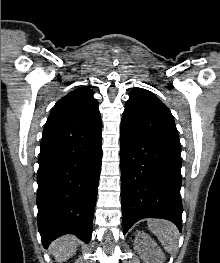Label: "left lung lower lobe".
Segmentation results:
<instances>
[{"mask_svg": "<svg viewBox=\"0 0 220 263\" xmlns=\"http://www.w3.org/2000/svg\"><path fill=\"white\" fill-rule=\"evenodd\" d=\"M123 233L143 218L172 221L182 230L181 150L121 124Z\"/></svg>", "mask_w": 220, "mask_h": 263, "instance_id": "1", "label": "left lung lower lobe"}]
</instances>
